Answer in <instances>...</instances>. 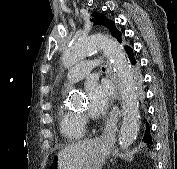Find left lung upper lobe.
<instances>
[{
	"label": "left lung upper lobe",
	"instance_id": "5c2ea615",
	"mask_svg": "<svg viewBox=\"0 0 177 169\" xmlns=\"http://www.w3.org/2000/svg\"><path fill=\"white\" fill-rule=\"evenodd\" d=\"M92 16L93 22H95L96 24L105 25L111 31L112 36L115 37L120 43L122 42V34L116 29L115 23L113 21L108 20L104 15L97 12H93Z\"/></svg>",
	"mask_w": 177,
	"mask_h": 169
}]
</instances>
